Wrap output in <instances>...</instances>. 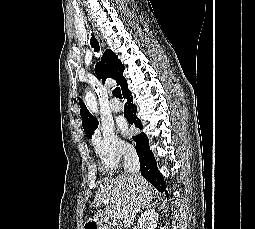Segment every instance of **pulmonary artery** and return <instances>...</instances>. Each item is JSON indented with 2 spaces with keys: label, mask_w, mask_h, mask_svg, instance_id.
I'll return each mask as SVG.
<instances>
[{
  "label": "pulmonary artery",
  "mask_w": 255,
  "mask_h": 229,
  "mask_svg": "<svg viewBox=\"0 0 255 229\" xmlns=\"http://www.w3.org/2000/svg\"><path fill=\"white\" fill-rule=\"evenodd\" d=\"M110 107L115 113H118L122 110V104L116 98H112L110 100Z\"/></svg>",
  "instance_id": "e3ab8cb5"
}]
</instances>
